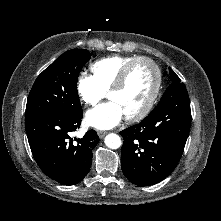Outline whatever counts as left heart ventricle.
Segmentation results:
<instances>
[{
  "mask_svg": "<svg viewBox=\"0 0 221 221\" xmlns=\"http://www.w3.org/2000/svg\"><path fill=\"white\" fill-rule=\"evenodd\" d=\"M155 84V72L145 62L137 63L131 70L124 87L108 95L123 110L124 116L138 113L147 103Z\"/></svg>",
  "mask_w": 221,
  "mask_h": 221,
  "instance_id": "obj_1",
  "label": "left heart ventricle"
}]
</instances>
